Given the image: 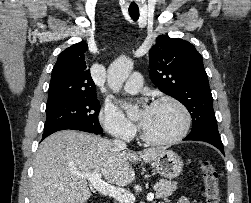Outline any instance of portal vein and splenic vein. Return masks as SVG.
<instances>
[{"instance_id":"1","label":"portal vein and splenic vein","mask_w":251,"mask_h":203,"mask_svg":"<svg viewBox=\"0 0 251 203\" xmlns=\"http://www.w3.org/2000/svg\"><path fill=\"white\" fill-rule=\"evenodd\" d=\"M80 178L87 179L90 184L100 193L108 196H112L115 199L119 200L120 202L124 203H134L135 196L119 187H114L107 182L102 180V174L95 173V174H77ZM154 199V194L149 193L147 195V200L152 201Z\"/></svg>"}]
</instances>
